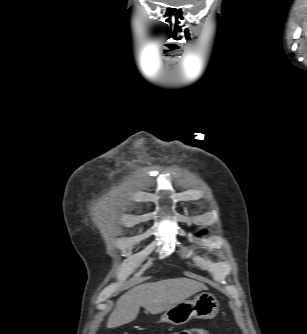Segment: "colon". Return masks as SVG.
I'll list each match as a JSON object with an SVG mask.
<instances>
[{
    "label": "colon",
    "instance_id": "colon-1",
    "mask_svg": "<svg viewBox=\"0 0 307 334\" xmlns=\"http://www.w3.org/2000/svg\"><path fill=\"white\" fill-rule=\"evenodd\" d=\"M123 334H129V333H123ZM172 334H183V332H176V333H172Z\"/></svg>",
    "mask_w": 307,
    "mask_h": 334
}]
</instances>
